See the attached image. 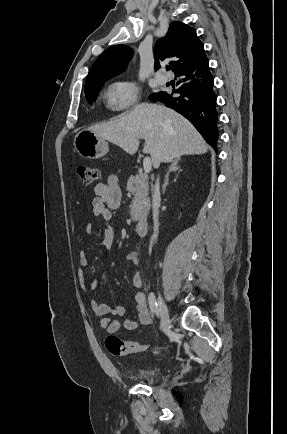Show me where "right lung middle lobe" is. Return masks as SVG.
Returning <instances> with one entry per match:
<instances>
[{"label": "right lung middle lobe", "instance_id": "obj_1", "mask_svg": "<svg viewBox=\"0 0 287 434\" xmlns=\"http://www.w3.org/2000/svg\"><path fill=\"white\" fill-rule=\"evenodd\" d=\"M107 80L98 81V82L85 85V97L89 103H92L96 100L98 91L103 86V83Z\"/></svg>", "mask_w": 287, "mask_h": 434}]
</instances>
